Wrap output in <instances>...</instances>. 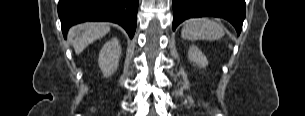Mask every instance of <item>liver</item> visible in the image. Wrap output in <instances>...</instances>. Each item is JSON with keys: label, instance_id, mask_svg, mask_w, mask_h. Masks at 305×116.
<instances>
[{"label": "liver", "instance_id": "1", "mask_svg": "<svg viewBox=\"0 0 305 116\" xmlns=\"http://www.w3.org/2000/svg\"><path fill=\"white\" fill-rule=\"evenodd\" d=\"M110 31L106 23H84L74 26L69 31V36L74 38L73 47L75 53L80 54L89 44L102 38Z\"/></svg>", "mask_w": 305, "mask_h": 116}]
</instances>
